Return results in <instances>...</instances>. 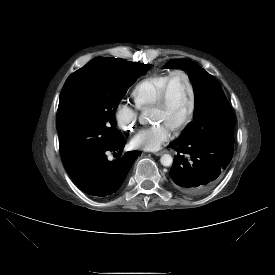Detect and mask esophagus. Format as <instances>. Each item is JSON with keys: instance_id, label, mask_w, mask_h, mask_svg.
<instances>
[{"instance_id": "1", "label": "esophagus", "mask_w": 275, "mask_h": 275, "mask_svg": "<svg viewBox=\"0 0 275 275\" xmlns=\"http://www.w3.org/2000/svg\"><path fill=\"white\" fill-rule=\"evenodd\" d=\"M165 152H166V150H162V151L156 152V153H154V154H155L156 156H161V155H163Z\"/></svg>"}]
</instances>
